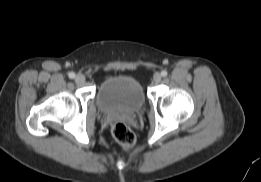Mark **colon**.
<instances>
[{"label":"colon","instance_id":"obj_1","mask_svg":"<svg viewBox=\"0 0 261 182\" xmlns=\"http://www.w3.org/2000/svg\"><path fill=\"white\" fill-rule=\"evenodd\" d=\"M112 135L116 142L124 148H131L135 144V135L124 123L118 122L112 126Z\"/></svg>","mask_w":261,"mask_h":182}]
</instances>
